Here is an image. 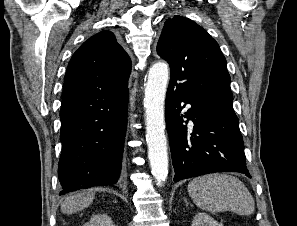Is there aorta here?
Instances as JSON below:
<instances>
[{"label":"aorta","instance_id":"aorta-1","mask_svg":"<svg viewBox=\"0 0 297 226\" xmlns=\"http://www.w3.org/2000/svg\"><path fill=\"white\" fill-rule=\"evenodd\" d=\"M168 77L167 64L157 62L150 68L145 85L144 108L148 158L151 173L157 185H162L168 175V152L164 125V100Z\"/></svg>","mask_w":297,"mask_h":226}]
</instances>
